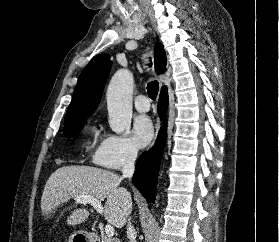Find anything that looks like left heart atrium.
Returning a JSON list of instances; mask_svg holds the SVG:
<instances>
[{"label": "left heart atrium", "instance_id": "1", "mask_svg": "<svg viewBox=\"0 0 279 242\" xmlns=\"http://www.w3.org/2000/svg\"><path fill=\"white\" fill-rule=\"evenodd\" d=\"M154 129L151 119L148 116L136 117L133 124V141L137 147L143 148L152 140Z\"/></svg>", "mask_w": 279, "mask_h": 242}]
</instances>
